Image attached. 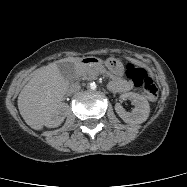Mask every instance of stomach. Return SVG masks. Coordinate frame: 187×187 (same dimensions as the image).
<instances>
[{
  "mask_svg": "<svg viewBox=\"0 0 187 187\" xmlns=\"http://www.w3.org/2000/svg\"><path fill=\"white\" fill-rule=\"evenodd\" d=\"M98 65L104 64V66L109 70L112 78L118 79L124 74V66L123 63L114 57H110L105 61L100 59L94 60Z\"/></svg>",
  "mask_w": 187,
  "mask_h": 187,
  "instance_id": "0dacf381",
  "label": "stomach"
}]
</instances>
